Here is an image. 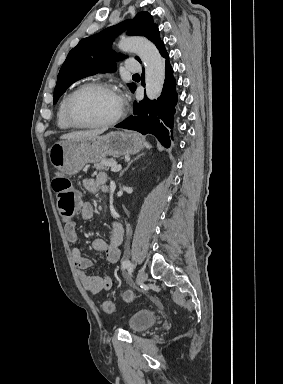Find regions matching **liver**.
I'll return each instance as SVG.
<instances>
[{"label":"liver","instance_id":"obj_1","mask_svg":"<svg viewBox=\"0 0 283 384\" xmlns=\"http://www.w3.org/2000/svg\"><path fill=\"white\" fill-rule=\"evenodd\" d=\"M105 130H86V132H71V134H63L60 140H81V138H91V136H99Z\"/></svg>","mask_w":283,"mask_h":384}]
</instances>
